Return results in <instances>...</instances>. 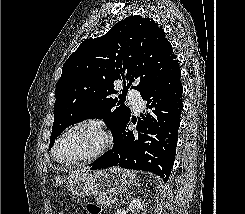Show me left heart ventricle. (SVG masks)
I'll use <instances>...</instances> for the list:
<instances>
[{
    "label": "left heart ventricle",
    "instance_id": "obj_1",
    "mask_svg": "<svg viewBox=\"0 0 245 214\" xmlns=\"http://www.w3.org/2000/svg\"><path fill=\"white\" fill-rule=\"evenodd\" d=\"M101 143L97 132L82 128L67 134L57 147V157L69 160L83 157L93 152Z\"/></svg>",
    "mask_w": 245,
    "mask_h": 214
}]
</instances>
